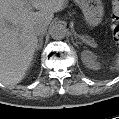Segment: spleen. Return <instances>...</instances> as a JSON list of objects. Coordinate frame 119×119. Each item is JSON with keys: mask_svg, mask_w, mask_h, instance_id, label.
<instances>
[{"mask_svg": "<svg viewBox=\"0 0 119 119\" xmlns=\"http://www.w3.org/2000/svg\"><path fill=\"white\" fill-rule=\"evenodd\" d=\"M115 63H116V67H115L116 70H119V54L117 55Z\"/></svg>", "mask_w": 119, "mask_h": 119, "instance_id": "obj_1", "label": "spleen"}]
</instances>
